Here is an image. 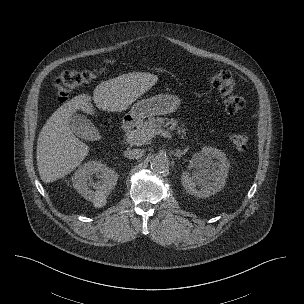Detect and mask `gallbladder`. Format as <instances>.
<instances>
[{"label": "gallbladder", "mask_w": 304, "mask_h": 304, "mask_svg": "<svg viewBox=\"0 0 304 304\" xmlns=\"http://www.w3.org/2000/svg\"><path fill=\"white\" fill-rule=\"evenodd\" d=\"M69 126L71 131L81 139L91 140L97 133V129L93 123L85 115L80 113L71 115Z\"/></svg>", "instance_id": "obj_1"}]
</instances>
